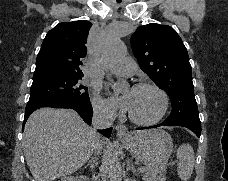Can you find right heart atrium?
I'll return each instance as SVG.
<instances>
[{
	"instance_id": "1",
	"label": "right heart atrium",
	"mask_w": 228,
	"mask_h": 181,
	"mask_svg": "<svg viewBox=\"0 0 228 181\" xmlns=\"http://www.w3.org/2000/svg\"><path fill=\"white\" fill-rule=\"evenodd\" d=\"M93 106L96 112L110 116L112 114V106L110 102L100 95L99 89H96L93 96Z\"/></svg>"
}]
</instances>
